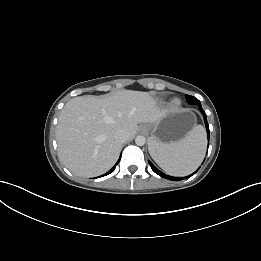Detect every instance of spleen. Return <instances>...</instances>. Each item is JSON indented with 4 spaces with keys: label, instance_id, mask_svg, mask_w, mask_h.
<instances>
[{
    "label": "spleen",
    "instance_id": "3e777b00",
    "mask_svg": "<svg viewBox=\"0 0 261 261\" xmlns=\"http://www.w3.org/2000/svg\"><path fill=\"white\" fill-rule=\"evenodd\" d=\"M149 153L169 175L185 176L200 165L206 150V135L202 125L194 126L177 142L160 143L150 139Z\"/></svg>",
    "mask_w": 261,
    "mask_h": 261
}]
</instances>
